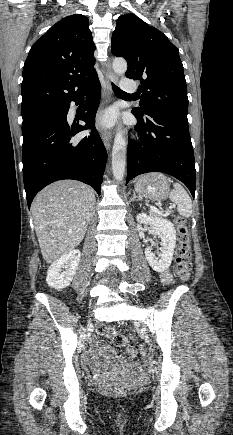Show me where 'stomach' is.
I'll return each mask as SVG.
<instances>
[{
	"mask_svg": "<svg viewBox=\"0 0 233 435\" xmlns=\"http://www.w3.org/2000/svg\"><path fill=\"white\" fill-rule=\"evenodd\" d=\"M135 191L148 199L161 201L169 193V180L161 173H150L141 176L135 183Z\"/></svg>",
	"mask_w": 233,
	"mask_h": 435,
	"instance_id": "1",
	"label": "stomach"
}]
</instances>
